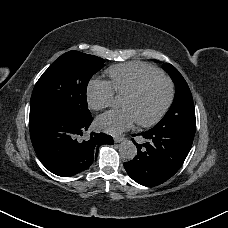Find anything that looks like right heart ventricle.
I'll use <instances>...</instances> for the list:
<instances>
[{
  "label": "right heart ventricle",
  "instance_id": "e07e8e85",
  "mask_svg": "<svg viewBox=\"0 0 228 228\" xmlns=\"http://www.w3.org/2000/svg\"><path fill=\"white\" fill-rule=\"evenodd\" d=\"M161 75V71L154 67L136 63L115 66L109 70L111 85L120 96L131 94L144 81Z\"/></svg>",
  "mask_w": 228,
  "mask_h": 228
}]
</instances>
